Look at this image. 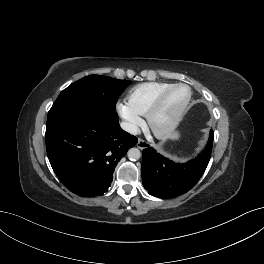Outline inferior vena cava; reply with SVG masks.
Segmentation results:
<instances>
[{"mask_svg":"<svg viewBox=\"0 0 264 264\" xmlns=\"http://www.w3.org/2000/svg\"><path fill=\"white\" fill-rule=\"evenodd\" d=\"M120 126L123 130L127 131L130 134L137 135L140 133V129L133 123L121 122Z\"/></svg>","mask_w":264,"mask_h":264,"instance_id":"obj_1","label":"inferior vena cava"}]
</instances>
